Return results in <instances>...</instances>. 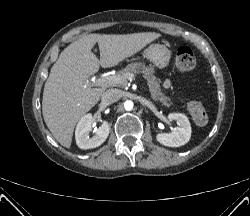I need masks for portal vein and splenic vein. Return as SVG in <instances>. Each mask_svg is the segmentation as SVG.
<instances>
[{"label": "portal vein and splenic vein", "mask_w": 250, "mask_h": 216, "mask_svg": "<svg viewBox=\"0 0 250 216\" xmlns=\"http://www.w3.org/2000/svg\"><path fill=\"white\" fill-rule=\"evenodd\" d=\"M136 75L133 73H128L124 76L119 75H113V76H107V77H101L94 81V85L96 86H107V85H115V84H121L126 82V79L135 78Z\"/></svg>", "instance_id": "obj_1"}]
</instances>
